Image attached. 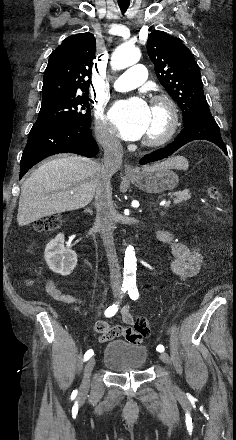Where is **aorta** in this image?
<instances>
[{"label": "aorta", "mask_w": 236, "mask_h": 440, "mask_svg": "<svg viewBox=\"0 0 236 440\" xmlns=\"http://www.w3.org/2000/svg\"><path fill=\"white\" fill-rule=\"evenodd\" d=\"M141 58V52L136 47L120 46L112 55L111 67L113 70H121L136 64ZM137 270V259L134 248L129 245L124 256V279H134Z\"/></svg>", "instance_id": "aorta-1"}]
</instances>
